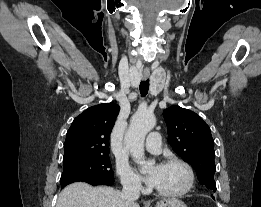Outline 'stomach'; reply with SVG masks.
I'll list each match as a JSON object with an SVG mask.
<instances>
[{"label":"stomach","mask_w":261,"mask_h":207,"mask_svg":"<svg viewBox=\"0 0 261 207\" xmlns=\"http://www.w3.org/2000/svg\"><path fill=\"white\" fill-rule=\"evenodd\" d=\"M155 207H187L186 204L176 198H166L156 204Z\"/></svg>","instance_id":"obj_1"}]
</instances>
